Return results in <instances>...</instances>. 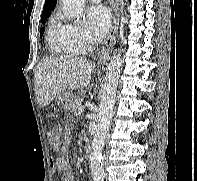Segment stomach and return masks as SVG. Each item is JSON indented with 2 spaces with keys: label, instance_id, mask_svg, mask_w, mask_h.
<instances>
[{
  "label": "stomach",
  "instance_id": "1",
  "mask_svg": "<svg viewBox=\"0 0 197 181\" xmlns=\"http://www.w3.org/2000/svg\"><path fill=\"white\" fill-rule=\"evenodd\" d=\"M74 100V94L71 91H64L58 95V103L61 109L68 110Z\"/></svg>",
  "mask_w": 197,
  "mask_h": 181
}]
</instances>
